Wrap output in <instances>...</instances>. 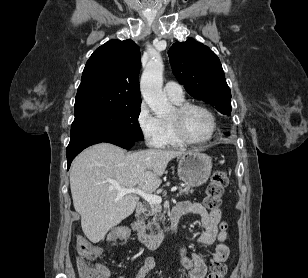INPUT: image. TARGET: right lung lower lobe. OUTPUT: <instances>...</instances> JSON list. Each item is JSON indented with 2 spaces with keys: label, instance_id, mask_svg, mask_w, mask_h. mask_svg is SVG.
<instances>
[{
  "label": "right lung lower lobe",
  "instance_id": "1",
  "mask_svg": "<svg viewBox=\"0 0 308 278\" xmlns=\"http://www.w3.org/2000/svg\"><path fill=\"white\" fill-rule=\"evenodd\" d=\"M108 142L120 146L125 149L131 148L135 141L123 138H114V137H89V138H81L76 140H70V143L66 150V156L68 161V168L72 160L86 147L101 143Z\"/></svg>",
  "mask_w": 308,
  "mask_h": 278
}]
</instances>
